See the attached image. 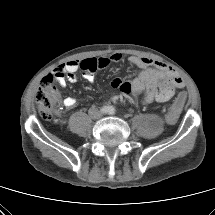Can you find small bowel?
Returning a JSON list of instances; mask_svg holds the SVG:
<instances>
[{
  "label": "small bowel",
  "instance_id": "small-bowel-1",
  "mask_svg": "<svg viewBox=\"0 0 215 215\" xmlns=\"http://www.w3.org/2000/svg\"><path fill=\"white\" fill-rule=\"evenodd\" d=\"M122 59L121 54L114 53L109 57L71 60L58 66L47 76H52L60 86L65 87L67 82H76V72L81 70L85 79L93 83L97 70L106 68L110 63L120 62ZM128 60L131 65L141 70L139 75L132 81H122L116 78L111 85L124 94L142 95L144 103L165 102L172 97L175 89L182 88L184 85L172 68L160 61L139 56H131ZM63 104L70 109L76 106L77 101L73 97H67L63 100Z\"/></svg>",
  "mask_w": 215,
  "mask_h": 215
}]
</instances>
